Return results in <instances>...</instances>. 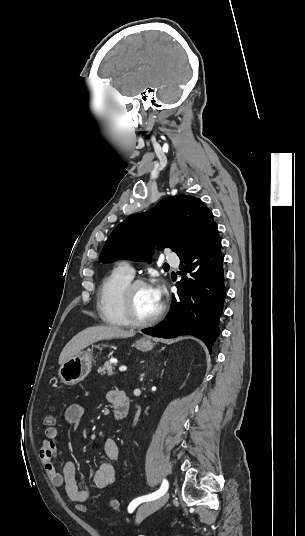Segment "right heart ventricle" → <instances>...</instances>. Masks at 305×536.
Wrapping results in <instances>:
<instances>
[{
    "label": "right heart ventricle",
    "instance_id": "e07e8e85",
    "mask_svg": "<svg viewBox=\"0 0 305 536\" xmlns=\"http://www.w3.org/2000/svg\"><path fill=\"white\" fill-rule=\"evenodd\" d=\"M132 280L119 268L114 269L102 282L97 301L98 314L102 321L116 327L128 326L122 306L121 295L124 287Z\"/></svg>",
    "mask_w": 305,
    "mask_h": 536
}]
</instances>
